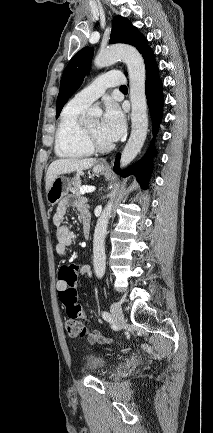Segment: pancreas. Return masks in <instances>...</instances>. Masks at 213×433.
<instances>
[{
  "label": "pancreas",
  "instance_id": "pancreas-1",
  "mask_svg": "<svg viewBox=\"0 0 213 433\" xmlns=\"http://www.w3.org/2000/svg\"><path fill=\"white\" fill-rule=\"evenodd\" d=\"M80 188H81V179L79 176L72 178L70 191L76 196H80Z\"/></svg>",
  "mask_w": 213,
  "mask_h": 433
}]
</instances>
